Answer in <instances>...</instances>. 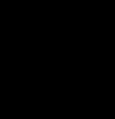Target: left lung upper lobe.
Returning a JSON list of instances; mask_svg holds the SVG:
<instances>
[{
  "label": "left lung upper lobe",
  "instance_id": "5c2ea615",
  "mask_svg": "<svg viewBox=\"0 0 115 119\" xmlns=\"http://www.w3.org/2000/svg\"><path fill=\"white\" fill-rule=\"evenodd\" d=\"M90 14L99 22L101 35L94 60L108 78H115V19L95 10Z\"/></svg>",
  "mask_w": 115,
  "mask_h": 119
}]
</instances>
